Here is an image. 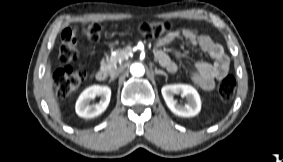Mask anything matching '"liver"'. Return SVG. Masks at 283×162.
<instances>
[{"label": "liver", "instance_id": "obj_1", "mask_svg": "<svg viewBox=\"0 0 283 162\" xmlns=\"http://www.w3.org/2000/svg\"><path fill=\"white\" fill-rule=\"evenodd\" d=\"M43 92L46 102L48 103L49 109L52 115L58 120H61V112L59 104L54 96L53 92V80L51 76L50 64L47 65L45 75L43 77Z\"/></svg>", "mask_w": 283, "mask_h": 162}]
</instances>
